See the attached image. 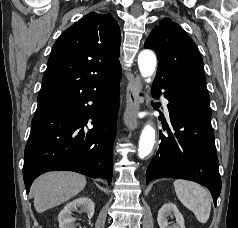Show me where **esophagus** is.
<instances>
[{
	"label": "esophagus",
	"instance_id": "obj_1",
	"mask_svg": "<svg viewBox=\"0 0 238 228\" xmlns=\"http://www.w3.org/2000/svg\"><path fill=\"white\" fill-rule=\"evenodd\" d=\"M142 89V80L136 75L128 82L126 89V109L124 113V124L128 129L134 130L138 126L137 113L140 108L141 98L139 93Z\"/></svg>",
	"mask_w": 238,
	"mask_h": 228
}]
</instances>
